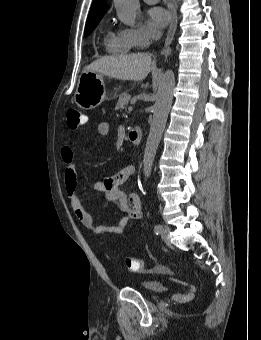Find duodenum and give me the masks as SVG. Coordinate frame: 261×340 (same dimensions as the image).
Returning <instances> with one entry per match:
<instances>
[{"label":"duodenum","instance_id":"obj_1","mask_svg":"<svg viewBox=\"0 0 261 340\" xmlns=\"http://www.w3.org/2000/svg\"><path fill=\"white\" fill-rule=\"evenodd\" d=\"M128 135H129V140L134 145H138L141 143L142 130L139 127L131 128Z\"/></svg>","mask_w":261,"mask_h":340}]
</instances>
